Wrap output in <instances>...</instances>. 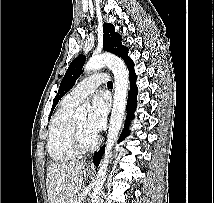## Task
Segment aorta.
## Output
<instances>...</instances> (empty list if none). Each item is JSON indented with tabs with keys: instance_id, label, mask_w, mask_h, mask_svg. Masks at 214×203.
Listing matches in <instances>:
<instances>
[{
	"instance_id": "obj_1",
	"label": "aorta",
	"mask_w": 214,
	"mask_h": 203,
	"mask_svg": "<svg viewBox=\"0 0 214 203\" xmlns=\"http://www.w3.org/2000/svg\"><path fill=\"white\" fill-rule=\"evenodd\" d=\"M107 66L111 69L115 78V94L113 101V109L110 118V124L107 134L106 148L104 155L99 164L98 174L95 180V187L91 195L92 203H99L101 191L106 179L108 171L109 159L113 146L117 140L120 132L122 122L124 119L125 108H126V96L128 89V71L125 63L121 58L111 55L102 54L92 56L84 66V71H94ZM85 106H80L75 111L73 118L82 119L86 117Z\"/></svg>"
}]
</instances>
